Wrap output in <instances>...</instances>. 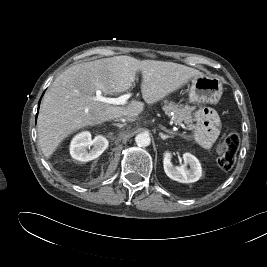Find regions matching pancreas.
Masks as SVG:
<instances>
[{
	"label": "pancreas",
	"instance_id": "1",
	"mask_svg": "<svg viewBox=\"0 0 267 267\" xmlns=\"http://www.w3.org/2000/svg\"><path fill=\"white\" fill-rule=\"evenodd\" d=\"M162 109L168 114H170V112H173L172 118L176 124L184 122L189 130L196 129V125L193 123V109L191 107L187 105L183 107L181 104L178 105L174 102L164 100Z\"/></svg>",
	"mask_w": 267,
	"mask_h": 267
}]
</instances>
